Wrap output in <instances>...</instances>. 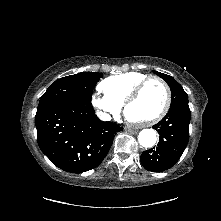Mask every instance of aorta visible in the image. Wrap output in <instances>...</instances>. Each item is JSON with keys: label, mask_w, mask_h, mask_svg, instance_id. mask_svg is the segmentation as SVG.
Returning <instances> with one entry per match:
<instances>
[{"label": "aorta", "mask_w": 221, "mask_h": 221, "mask_svg": "<svg viewBox=\"0 0 221 221\" xmlns=\"http://www.w3.org/2000/svg\"><path fill=\"white\" fill-rule=\"evenodd\" d=\"M156 139V132L153 129H143L138 135L139 144L145 148L153 147Z\"/></svg>", "instance_id": "obj_1"}]
</instances>
